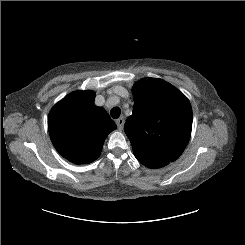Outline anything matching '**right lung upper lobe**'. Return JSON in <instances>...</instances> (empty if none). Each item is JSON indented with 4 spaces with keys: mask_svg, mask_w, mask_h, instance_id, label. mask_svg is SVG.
<instances>
[{
    "mask_svg": "<svg viewBox=\"0 0 245 245\" xmlns=\"http://www.w3.org/2000/svg\"><path fill=\"white\" fill-rule=\"evenodd\" d=\"M94 98L93 91H76L49 113L48 129L54 147L75 164L96 160L106 137L117 128L107 112L94 104Z\"/></svg>",
    "mask_w": 245,
    "mask_h": 245,
    "instance_id": "right-lung-upper-lobe-1",
    "label": "right lung upper lobe"
}]
</instances>
